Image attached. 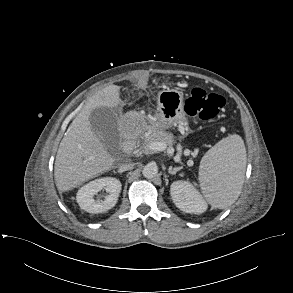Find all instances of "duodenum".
<instances>
[{
	"label": "duodenum",
	"instance_id": "1",
	"mask_svg": "<svg viewBox=\"0 0 293 293\" xmlns=\"http://www.w3.org/2000/svg\"><path fill=\"white\" fill-rule=\"evenodd\" d=\"M137 114L136 113H131L128 117H126L124 120H123V126H122V131H123V134L127 137L126 139V142L124 144V148L125 150L127 151H130L132 150L133 148V140L132 138L129 136L130 134V128H129V119L131 117H136Z\"/></svg>",
	"mask_w": 293,
	"mask_h": 293
}]
</instances>
